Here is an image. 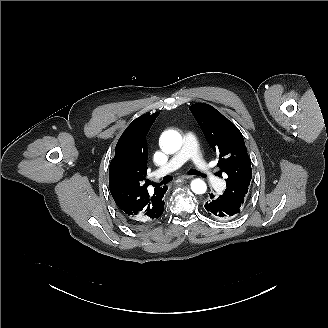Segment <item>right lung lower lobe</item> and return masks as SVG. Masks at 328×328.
Listing matches in <instances>:
<instances>
[{"instance_id":"98d812e1","label":"right lung lower lobe","mask_w":328,"mask_h":328,"mask_svg":"<svg viewBox=\"0 0 328 328\" xmlns=\"http://www.w3.org/2000/svg\"><path fill=\"white\" fill-rule=\"evenodd\" d=\"M124 217V216H123ZM124 219L126 220V222L129 224V225H131V226H133V222L130 220V219H127L126 217H124Z\"/></svg>"}]
</instances>
